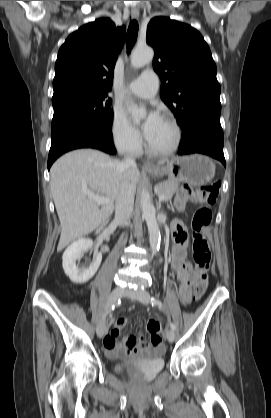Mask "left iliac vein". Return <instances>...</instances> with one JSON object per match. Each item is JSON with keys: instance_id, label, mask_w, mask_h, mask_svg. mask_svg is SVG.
<instances>
[{"instance_id": "1", "label": "left iliac vein", "mask_w": 271, "mask_h": 418, "mask_svg": "<svg viewBox=\"0 0 271 418\" xmlns=\"http://www.w3.org/2000/svg\"><path fill=\"white\" fill-rule=\"evenodd\" d=\"M123 295L126 297H129L131 299H135L138 300L140 302H142L143 304H148L149 300H148V292L145 290H125L123 292ZM166 338L169 342H173L175 339V334L174 331L172 329H168L166 332Z\"/></svg>"}]
</instances>
